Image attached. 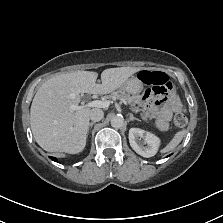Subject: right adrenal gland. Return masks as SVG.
<instances>
[{
  "instance_id": "right-adrenal-gland-1",
  "label": "right adrenal gland",
  "mask_w": 223,
  "mask_h": 223,
  "mask_svg": "<svg viewBox=\"0 0 223 223\" xmlns=\"http://www.w3.org/2000/svg\"><path fill=\"white\" fill-rule=\"evenodd\" d=\"M95 123H96L95 121L89 123V125H88V131L90 130V126L94 125Z\"/></svg>"
}]
</instances>
